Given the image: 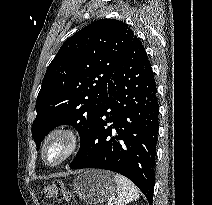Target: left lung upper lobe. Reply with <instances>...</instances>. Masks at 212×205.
<instances>
[{
  "instance_id": "obj_1",
  "label": "left lung upper lobe",
  "mask_w": 212,
  "mask_h": 205,
  "mask_svg": "<svg viewBox=\"0 0 212 205\" xmlns=\"http://www.w3.org/2000/svg\"><path fill=\"white\" fill-rule=\"evenodd\" d=\"M134 36L126 23L100 19L64 42L37 97L32 124L37 149L49 131L64 124L79 132L82 149L108 98L109 80Z\"/></svg>"
}]
</instances>
